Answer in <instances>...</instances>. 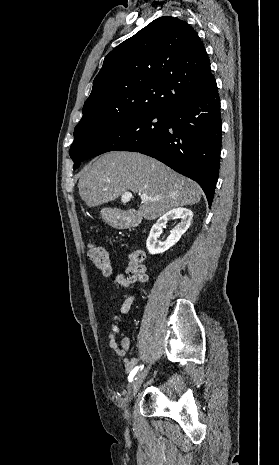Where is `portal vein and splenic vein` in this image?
Masks as SVG:
<instances>
[{
	"label": "portal vein and splenic vein",
	"mask_w": 279,
	"mask_h": 465,
	"mask_svg": "<svg viewBox=\"0 0 279 465\" xmlns=\"http://www.w3.org/2000/svg\"><path fill=\"white\" fill-rule=\"evenodd\" d=\"M131 196H132V194H131L130 192H126V193L123 195V197H128V198H130ZM141 199H142L143 201H147V200L158 201V200H160V198H152V197H149V196H148L147 194H145V193H142V194H141Z\"/></svg>",
	"instance_id": "portal-vein-and-splenic-vein-1"
}]
</instances>
